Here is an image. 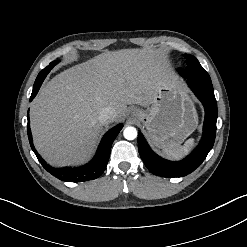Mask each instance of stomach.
<instances>
[{"instance_id":"0dacf381","label":"stomach","mask_w":247,"mask_h":247,"mask_svg":"<svg viewBox=\"0 0 247 247\" xmlns=\"http://www.w3.org/2000/svg\"><path fill=\"white\" fill-rule=\"evenodd\" d=\"M137 118L150 140L161 148L180 145L198 124L194 101L179 81L161 86L150 105L137 110Z\"/></svg>"}]
</instances>
